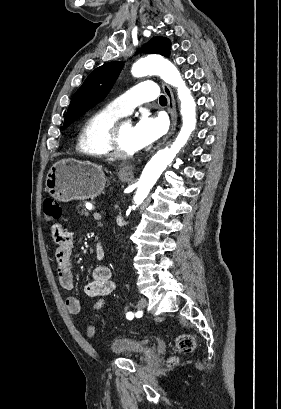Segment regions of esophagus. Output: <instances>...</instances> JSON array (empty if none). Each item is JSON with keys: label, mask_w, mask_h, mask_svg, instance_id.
I'll return each instance as SVG.
<instances>
[{"label": "esophagus", "mask_w": 281, "mask_h": 409, "mask_svg": "<svg viewBox=\"0 0 281 409\" xmlns=\"http://www.w3.org/2000/svg\"><path fill=\"white\" fill-rule=\"evenodd\" d=\"M162 87H163V90L165 92V95L168 101V110L171 116V126H170L168 134L163 139V141L158 145V147L162 145L164 142H166V140H168L169 137H171V135L174 133V130L176 128V123H177V111H176V103L174 99V94L171 88L169 87V85H167L166 83L163 82ZM134 167L135 166L133 165H127L126 167H123L122 171L131 174L132 171L134 170Z\"/></svg>", "instance_id": "obj_1"}]
</instances>
